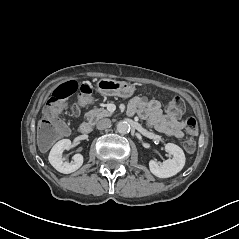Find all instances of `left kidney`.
Returning <instances> with one entry per match:
<instances>
[{"mask_svg":"<svg viewBox=\"0 0 239 239\" xmlns=\"http://www.w3.org/2000/svg\"><path fill=\"white\" fill-rule=\"evenodd\" d=\"M165 151L173 155L172 159L165 160L162 163H158L154 160H150V171L159 178H168L176 175L180 172L185 165V154L183 150L173 143H167L165 145Z\"/></svg>","mask_w":239,"mask_h":239,"instance_id":"left-kidney-1","label":"left kidney"}]
</instances>
